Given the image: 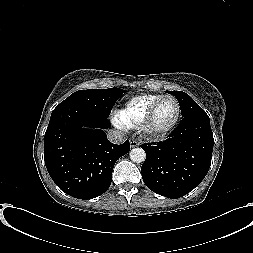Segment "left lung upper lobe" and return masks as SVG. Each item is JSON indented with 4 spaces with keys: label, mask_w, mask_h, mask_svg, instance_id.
I'll return each instance as SVG.
<instances>
[{
    "label": "left lung upper lobe",
    "mask_w": 253,
    "mask_h": 253,
    "mask_svg": "<svg viewBox=\"0 0 253 253\" xmlns=\"http://www.w3.org/2000/svg\"><path fill=\"white\" fill-rule=\"evenodd\" d=\"M178 99L182 117L205 113V111L185 92L167 91Z\"/></svg>",
    "instance_id": "obj_1"
}]
</instances>
